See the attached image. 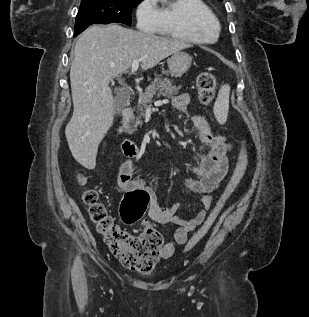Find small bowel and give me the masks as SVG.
Returning <instances> with one entry per match:
<instances>
[{"label": "small bowel", "mask_w": 309, "mask_h": 317, "mask_svg": "<svg viewBox=\"0 0 309 317\" xmlns=\"http://www.w3.org/2000/svg\"><path fill=\"white\" fill-rule=\"evenodd\" d=\"M189 100V95L182 93L173 99V106L178 111L185 112ZM192 123L198 131L201 142L191 164L193 177L186 180L188 190L201 195L202 209L194 218L185 220L179 217L180 204L178 203L169 207L161 206L146 181L133 178L134 161L132 159H128L121 165L117 178L118 186L123 193L135 190H144L148 193V215L151 220L159 224L171 223L177 226L173 240L166 243L161 249V259L171 258L175 247L184 245L188 240V234L205 221L207 211L214 202V192L219 189L227 177L229 170L228 153L234 151L232 138L214 131L203 116L194 115ZM145 227L144 223L143 230Z\"/></svg>", "instance_id": "c3829d8e"}]
</instances>
